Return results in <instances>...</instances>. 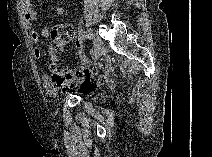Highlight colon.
I'll return each mask as SVG.
<instances>
[{
  "label": "colon",
  "mask_w": 212,
  "mask_h": 157,
  "mask_svg": "<svg viewBox=\"0 0 212 157\" xmlns=\"http://www.w3.org/2000/svg\"><path fill=\"white\" fill-rule=\"evenodd\" d=\"M75 35L74 27L69 23H61L51 29V38L58 48L67 45ZM51 82L56 88H61L64 92H71L79 89L83 93H89L95 89V83L86 71L85 74L74 73L71 69H55Z\"/></svg>",
  "instance_id": "obj_1"
}]
</instances>
